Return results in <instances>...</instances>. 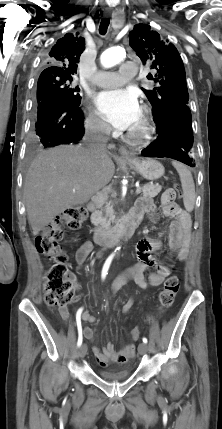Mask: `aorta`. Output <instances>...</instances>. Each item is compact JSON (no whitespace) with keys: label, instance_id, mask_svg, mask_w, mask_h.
<instances>
[{"label":"aorta","instance_id":"1","mask_svg":"<svg viewBox=\"0 0 222 429\" xmlns=\"http://www.w3.org/2000/svg\"><path fill=\"white\" fill-rule=\"evenodd\" d=\"M125 57L126 52L123 48L112 47L102 53L100 61L103 67L110 68L121 62Z\"/></svg>","mask_w":222,"mask_h":429}]
</instances>
